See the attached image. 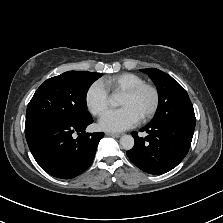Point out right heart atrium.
<instances>
[{"instance_id": "right-heart-atrium-1", "label": "right heart atrium", "mask_w": 223, "mask_h": 223, "mask_svg": "<svg viewBox=\"0 0 223 223\" xmlns=\"http://www.w3.org/2000/svg\"><path fill=\"white\" fill-rule=\"evenodd\" d=\"M88 111L94 116L102 115L109 106V93L102 81L93 82L85 94Z\"/></svg>"}]
</instances>
